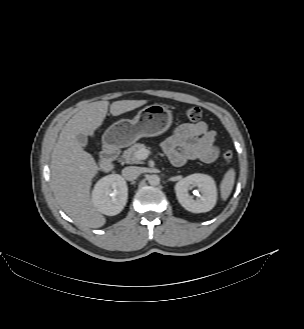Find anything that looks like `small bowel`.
<instances>
[{"label":"small bowel","mask_w":304,"mask_h":329,"mask_svg":"<svg viewBox=\"0 0 304 329\" xmlns=\"http://www.w3.org/2000/svg\"><path fill=\"white\" fill-rule=\"evenodd\" d=\"M215 139L216 132L209 129L204 121L183 123L165 140L163 149L170 162L177 167L191 160L212 163L219 156Z\"/></svg>","instance_id":"small-bowel-1"}]
</instances>
